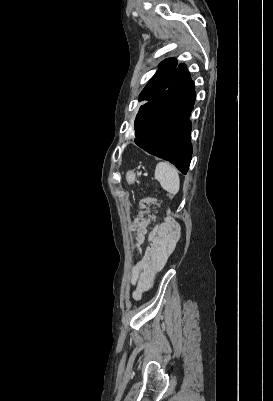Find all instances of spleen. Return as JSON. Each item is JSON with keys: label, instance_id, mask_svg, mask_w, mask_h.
I'll use <instances>...</instances> for the list:
<instances>
[{"label": "spleen", "instance_id": "1", "mask_svg": "<svg viewBox=\"0 0 273 401\" xmlns=\"http://www.w3.org/2000/svg\"><path fill=\"white\" fill-rule=\"evenodd\" d=\"M154 174L162 188H165L170 194H177L180 188V178L175 166L169 162H157Z\"/></svg>", "mask_w": 273, "mask_h": 401}]
</instances>
